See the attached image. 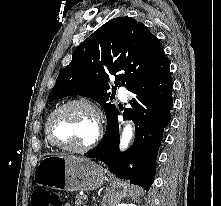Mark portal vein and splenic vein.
<instances>
[{
    "instance_id": "portal-vein-and-splenic-vein-1",
    "label": "portal vein and splenic vein",
    "mask_w": 221,
    "mask_h": 206,
    "mask_svg": "<svg viewBox=\"0 0 221 206\" xmlns=\"http://www.w3.org/2000/svg\"><path fill=\"white\" fill-rule=\"evenodd\" d=\"M84 199H87V196H84Z\"/></svg>"
}]
</instances>
